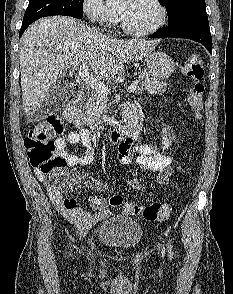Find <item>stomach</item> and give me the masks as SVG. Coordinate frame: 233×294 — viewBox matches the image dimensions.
I'll use <instances>...</instances> for the list:
<instances>
[{"instance_id": "1", "label": "stomach", "mask_w": 233, "mask_h": 294, "mask_svg": "<svg viewBox=\"0 0 233 294\" xmlns=\"http://www.w3.org/2000/svg\"><path fill=\"white\" fill-rule=\"evenodd\" d=\"M149 74L157 80L167 79L175 70L174 61L164 52L157 51L146 56Z\"/></svg>"}]
</instances>
